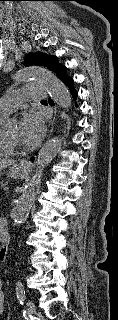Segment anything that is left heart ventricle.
Listing matches in <instances>:
<instances>
[{"mask_svg":"<svg viewBox=\"0 0 118 320\" xmlns=\"http://www.w3.org/2000/svg\"><path fill=\"white\" fill-rule=\"evenodd\" d=\"M4 134L12 140L19 142V128L17 125H11L4 130Z\"/></svg>","mask_w":118,"mask_h":320,"instance_id":"1","label":"left heart ventricle"}]
</instances>
